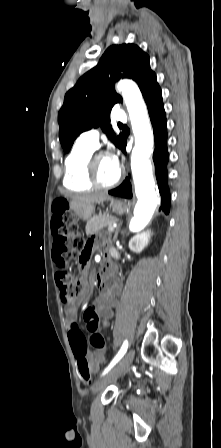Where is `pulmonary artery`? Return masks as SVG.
Here are the masks:
<instances>
[{"label":"pulmonary artery","mask_w":221,"mask_h":448,"mask_svg":"<svg viewBox=\"0 0 221 448\" xmlns=\"http://www.w3.org/2000/svg\"><path fill=\"white\" fill-rule=\"evenodd\" d=\"M112 119L114 121H118L119 123H124L127 121V116L124 111L117 109L113 111ZM99 137V130L92 128L81 133L78 138V142L96 149L99 146Z\"/></svg>","instance_id":"e3ab8cb5"}]
</instances>
